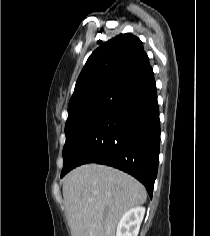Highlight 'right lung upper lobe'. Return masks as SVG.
Returning <instances> with one entry per match:
<instances>
[{"label":"right lung upper lobe","instance_id":"1","mask_svg":"<svg viewBox=\"0 0 210 236\" xmlns=\"http://www.w3.org/2000/svg\"><path fill=\"white\" fill-rule=\"evenodd\" d=\"M151 75L153 70L140 39L131 34H120L103 43L88 58L68 109L107 91H128Z\"/></svg>","mask_w":210,"mask_h":236}]
</instances>
